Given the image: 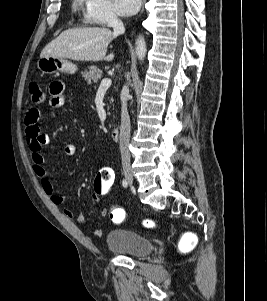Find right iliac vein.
I'll list each match as a JSON object with an SVG mask.
<instances>
[{
    "label": "right iliac vein",
    "mask_w": 267,
    "mask_h": 301,
    "mask_svg": "<svg viewBox=\"0 0 267 301\" xmlns=\"http://www.w3.org/2000/svg\"><path fill=\"white\" fill-rule=\"evenodd\" d=\"M123 174H124V177L126 179V181L132 185L133 183V174H132V169L129 165H125L123 167Z\"/></svg>",
    "instance_id": "right-iliac-vein-1"
}]
</instances>
